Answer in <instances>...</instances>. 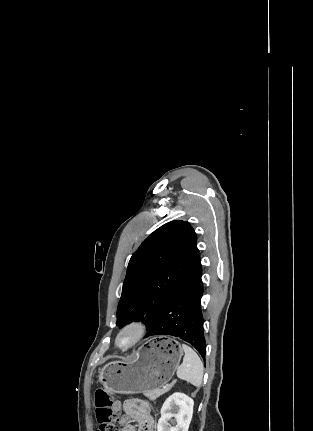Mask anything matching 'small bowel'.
<instances>
[{"instance_id": "1", "label": "small bowel", "mask_w": 313, "mask_h": 431, "mask_svg": "<svg viewBox=\"0 0 313 431\" xmlns=\"http://www.w3.org/2000/svg\"><path fill=\"white\" fill-rule=\"evenodd\" d=\"M113 408L121 413L120 431H153L154 418L150 406L145 401L136 398L124 402L115 401ZM132 421L137 427L132 424Z\"/></svg>"}]
</instances>
